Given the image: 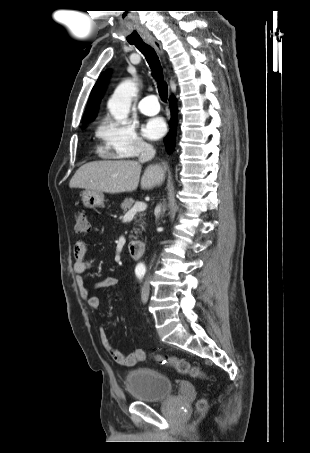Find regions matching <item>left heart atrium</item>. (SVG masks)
<instances>
[{"label":"left heart atrium","mask_w":310,"mask_h":453,"mask_svg":"<svg viewBox=\"0 0 310 453\" xmlns=\"http://www.w3.org/2000/svg\"><path fill=\"white\" fill-rule=\"evenodd\" d=\"M142 131L145 137L155 140L164 135L166 124L162 118H153L143 126Z\"/></svg>","instance_id":"obj_1"}]
</instances>
